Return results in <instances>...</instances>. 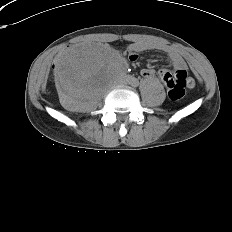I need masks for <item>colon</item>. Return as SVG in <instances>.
<instances>
[{
  "label": "colon",
  "mask_w": 232,
  "mask_h": 232,
  "mask_svg": "<svg viewBox=\"0 0 232 232\" xmlns=\"http://www.w3.org/2000/svg\"><path fill=\"white\" fill-rule=\"evenodd\" d=\"M193 80L185 75H174L165 81L169 97L172 100H179L184 96L185 87L191 86Z\"/></svg>",
  "instance_id": "colon-1"
}]
</instances>
